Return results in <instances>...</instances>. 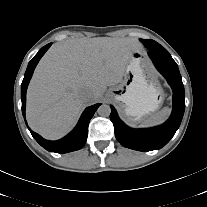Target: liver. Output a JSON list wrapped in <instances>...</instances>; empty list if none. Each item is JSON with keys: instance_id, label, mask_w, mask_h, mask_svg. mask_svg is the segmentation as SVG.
<instances>
[{"instance_id": "obj_1", "label": "liver", "mask_w": 207, "mask_h": 207, "mask_svg": "<svg viewBox=\"0 0 207 207\" xmlns=\"http://www.w3.org/2000/svg\"><path fill=\"white\" fill-rule=\"evenodd\" d=\"M139 43L131 38H81L54 44L37 65L27 90L26 118L46 139H59L76 123L83 105L123 79ZM84 90L90 92L83 99Z\"/></svg>"}]
</instances>
